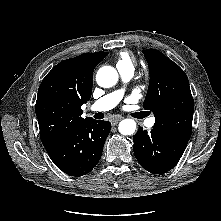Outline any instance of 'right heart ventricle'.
I'll return each instance as SVG.
<instances>
[{
  "mask_svg": "<svg viewBox=\"0 0 221 221\" xmlns=\"http://www.w3.org/2000/svg\"><path fill=\"white\" fill-rule=\"evenodd\" d=\"M116 66L119 71L121 70H134L135 60L132 54L128 51H122L118 54Z\"/></svg>",
  "mask_w": 221,
  "mask_h": 221,
  "instance_id": "right-heart-ventricle-1",
  "label": "right heart ventricle"
}]
</instances>
